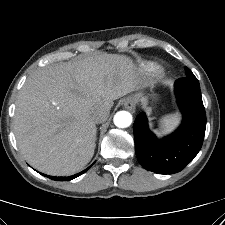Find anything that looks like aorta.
Listing matches in <instances>:
<instances>
[{"mask_svg":"<svg viewBox=\"0 0 225 225\" xmlns=\"http://www.w3.org/2000/svg\"><path fill=\"white\" fill-rule=\"evenodd\" d=\"M113 122L118 128H127L132 123V115L128 111H119L114 115Z\"/></svg>","mask_w":225,"mask_h":225,"instance_id":"obj_1","label":"aorta"}]
</instances>
